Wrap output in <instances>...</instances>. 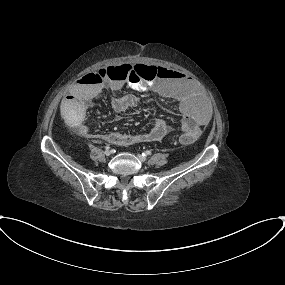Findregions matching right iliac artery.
I'll use <instances>...</instances> for the list:
<instances>
[{
    "instance_id": "right-iliac-artery-1",
    "label": "right iliac artery",
    "mask_w": 285,
    "mask_h": 285,
    "mask_svg": "<svg viewBox=\"0 0 285 285\" xmlns=\"http://www.w3.org/2000/svg\"><path fill=\"white\" fill-rule=\"evenodd\" d=\"M105 149H106V150H109V149H110V147H109V146H105Z\"/></svg>"
}]
</instances>
